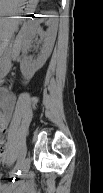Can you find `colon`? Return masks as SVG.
<instances>
[{
    "mask_svg": "<svg viewBox=\"0 0 103 193\" xmlns=\"http://www.w3.org/2000/svg\"><path fill=\"white\" fill-rule=\"evenodd\" d=\"M2 133H3V131H2ZM0 146H1L0 155L5 160L6 159V144H5V142L2 141Z\"/></svg>",
    "mask_w": 103,
    "mask_h": 193,
    "instance_id": "obj_1",
    "label": "colon"
}]
</instances>
